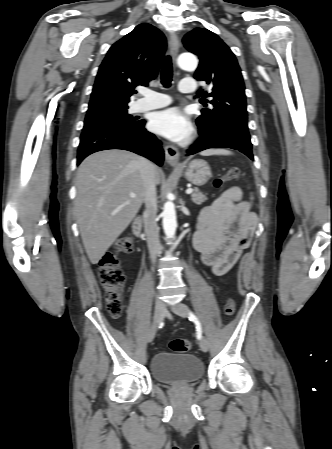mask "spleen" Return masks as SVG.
Segmentation results:
<instances>
[{"label":"spleen","instance_id":"1","mask_svg":"<svg viewBox=\"0 0 332 449\" xmlns=\"http://www.w3.org/2000/svg\"><path fill=\"white\" fill-rule=\"evenodd\" d=\"M201 154L204 156H209V155H230L232 153L225 149H210L203 151Z\"/></svg>","mask_w":332,"mask_h":449}]
</instances>
